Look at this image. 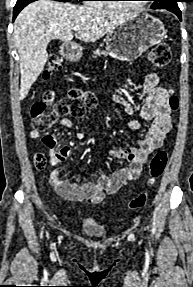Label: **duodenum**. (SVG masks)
I'll use <instances>...</instances> for the list:
<instances>
[{"label":"duodenum","instance_id":"1","mask_svg":"<svg viewBox=\"0 0 193 287\" xmlns=\"http://www.w3.org/2000/svg\"><path fill=\"white\" fill-rule=\"evenodd\" d=\"M80 52V49L73 44H67L64 46L63 48V55L67 58V59H75L78 57Z\"/></svg>","mask_w":193,"mask_h":287}]
</instances>
